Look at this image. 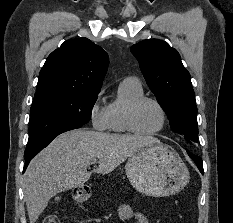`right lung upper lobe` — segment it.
I'll return each mask as SVG.
<instances>
[{
	"label": "right lung upper lobe",
	"instance_id": "cb5924a9",
	"mask_svg": "<svg viewBox=\"0 0 233 223\" xmlns=\"http://www.w3.org/2000/svg\"><path fill=\"white\" fill-rule=\"evenodd\" d=\"M108 63L107 53L89 39L67 40L48 56L34 96L49 92H100Z\"/></svg>",
	"mask_w": 233,
	"mask_h": 223
}]
</instances>
